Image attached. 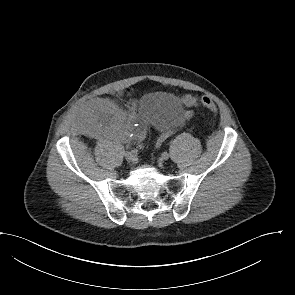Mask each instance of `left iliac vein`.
Returning <instances> with one entry per match:
<instances>
[{"mask_svg": "<svg viewBox=\"0 0 295 295\" xmlns=\"http://www.w3.org/2000/svg\"><path fill=\"white\" fill-rule=\"evenodd\" d=\"M168 158H169L168 153L166 154L165 157L162 156V157L159 159V165L162 167L163 164H164V161H166Z\"/></svg>", "mask_w": 295, "mask_h": 295, "instance_id": "obj_1", "label": "left iliac vein"}]
</instances>
